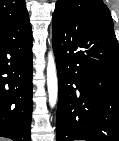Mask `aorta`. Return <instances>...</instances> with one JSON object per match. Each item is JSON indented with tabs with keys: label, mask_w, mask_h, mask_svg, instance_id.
Instances as JSON below:
<instances>
[{
	"label": "aorta",
	"mask_w": 119,
	"mask_h": 141,
	"mask_svg": "<svg viewBox=\"0 0 119 141\" xmlns=\"http://www.w3.org/2000/svg\"><path fill=\"white\" fill-rule=\"evenodd\" d=\"M47 90L49 97V105L54 107L58 99V79L55 58L52 52L48 55L47 64Z\"/></svg>",
	"instance_id": "1"
}]
</instances>
